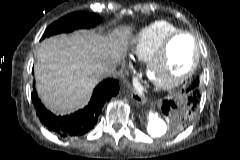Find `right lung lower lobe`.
<instances>
[{"instance_id":"right-lung-lower-lobe-1","label":"right lung lower lobe","mask_w":240,"mask_h":160,"mask_svg":"<svg viewBox=\"0 0 240 160\" xmlns=\"http://www.w3.org/2000/svg\"><path fill=\"white\" fill-rule=\"evenodd\" d=\"M118 92V81L106 79L94 89L92 98L84 109L66 116H56L48 111L36 95L33 96V103L41 123L51 132L64 138L80 137L94 127L105 102Z\"/></svg>"}]
</instances>
